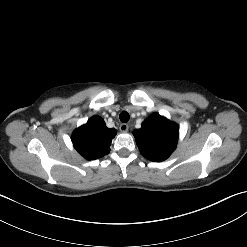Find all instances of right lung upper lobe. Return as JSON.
I'll use <instances>...</instances> for the list:
<instances>
[{
	"mask_svg": "<svg viewBox=\"0 0 247 247\" xmlns=\"http://www.w3.org/2000/svg\"><path fill=\"white\" fill-rule=\"evenodd\" d=\"M116 135L115 129L106 127L98 116L91 117L88 122L72 134L74 148L87 160H94L110 152V144Z\"/></svg>",
	"mask_w": 247,
	"mask_h": 247,
	"instance_id": "obj_1",
	"label": "right lung upper lobe"
}]
</instances>
